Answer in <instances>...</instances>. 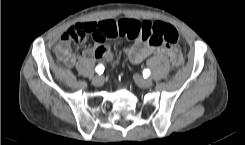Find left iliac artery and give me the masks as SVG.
<instances>
[{
  "instance_id": "44dca946",
  "label": "left iliac artery",
  "mask_w": 245,
  "mask_h": 145,
  "mask_svg": "<svg viewBox=\"0 0 245 145\" xmlns=\"http://www.w3.org/2000/svg\"><path fill=\"white\" fill-rule=\"evenodd\" d=\"M150 75V70L149 69H144V71H143V76L144 77H147V76H149Z\"/></svg>"
}]
</instances>
